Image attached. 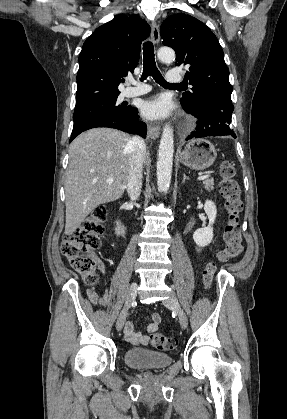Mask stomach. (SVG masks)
Listing matches in <instances>:
<instances>
[{"label": "stomach", "instance_id": "obj_1", "mask_svg": "<svg viewBox=\"0 0 287 419\" xmlns=\"http://www.w3.org/2000/svg\"><path fill=\"white\" fill-rule=\"evenodd\" d=\"M216 156V149L209 140L197 138L185 145L180 162L194 170H205L214 163Z\"/></svg>", "mask_w": 287, "mask_h": 419}]
</instances>
